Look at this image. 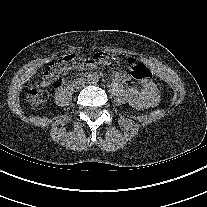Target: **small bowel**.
<instances>
[{"label":"small bowel","mask_w":207,"mask_h":207,"mask_svg":"<svg viewBox=\"0 0 207 207\" xmlns=\"http://www.w3.org/2000/svg\"><path fill=\"white\" fill-rule=\"evenodd\" d=\"M93 68V67H91ZM61 78H56L59 81ZM112 79L117 83H125L130 76L120 69H112ZM141 87H130L128 89V102L138 109L150 108L157 105L159 101V92L156 84L149 79L141 80Z\"/></svg>","instance_id":"c3829d8e"}]
</instances>
